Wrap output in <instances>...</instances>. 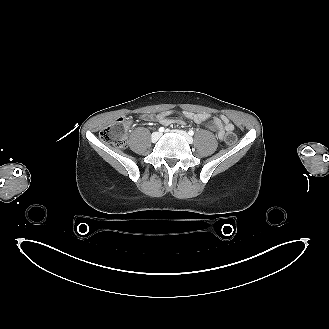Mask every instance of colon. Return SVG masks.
<instances>
[{
  "label": "colon",
  "instance_id": "5ec220e1",
  "mask_svg": "<svg viewBox=\"0 0 329 329\" xmlns=\"http://www.w3.org/2000/svg\"><path fill=\"white\" fill-rule=\"evenodd\" d=\"M129 120L127 118H118L113 123L101 129L100 139L118 147L125 146L127 142V128ZM237 140L236 134L233 132L227 133L224 137V142L227 145H233Z\"/></svg>",
  "mask_w": 329,
  "mask_h": 329
}]
</instances>
